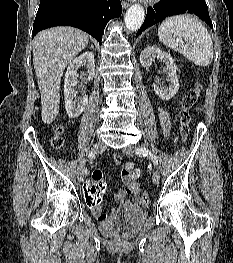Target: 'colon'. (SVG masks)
Returning a JSON list of instances; mask_svg holds the SVG:
<instances>
[{
    "label": "colon",
    "mask_w": 233,
    "mask_h": 263,
    "mask_svg": "<svg viewBox=\"0 0 233 263\" xmlns=\"http://www.w3.org/2000/svg\"><path fill=\"white\" fill-rule=\"evenodd\" d=\"M203 85L200 79L197 80L195 86L184 96L182 100V108L179 112V121H180V132L184 140L187 139L190 127V110L197 103ZM63 128L58 127L51 139V145L54 149H59L64 144L63 139ZM104 170L103 169H94L91 171V179L87 180V186H85V208H96L98 202L101 201L102 196L106 191V183L103 180ZM140 202L143 206L149 204V197L147 193H143L140 196Z\"/></svg>",
    "instance_id": "5ec220e1"
}]
</instances>
